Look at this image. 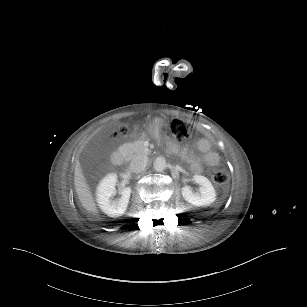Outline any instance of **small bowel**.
<instances>
[{
    "instance_id": "small-bowel-1",
    "label": "small bowel",
    "mask_w": 307,
    "mask_h": 307,
    "mask_svg": "<svg viewBox=\"0 0 307 307\" xmlns=\"http://www.w3.org/2000/svg\"><path fill=\"white\" fill-rule=\"evenodd\" d=\"M198 151L196 155L193 151H186V156L191 164V169L195 174H200L203 170V164L213 166L219 163V155L211 149V142L207 138H201L195 144Z\"/></svg>"
}]
</instances>
